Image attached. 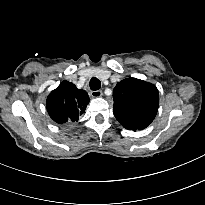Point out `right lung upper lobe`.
<instances>
[{"instance_id": "cb5924a9", "label": "right lung upper lobe", "mask_w": 205, "mask_h": 205, "mask_svg": "<svg viewBox=\"0 0 205 205\" xmlns=\"http://www.w3.org/2000/svg\"><path fill=\"white\" fill-rule=\"evenodd\" d=\"M89 97L85 90L64 80L53 90L46 101V108L50 117L58 124L78 121L79 116L85 112Z\"/></svg>"}]
</instances>
